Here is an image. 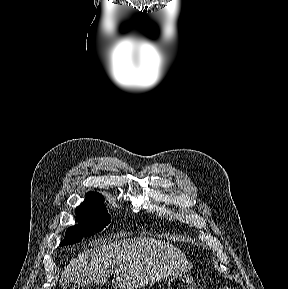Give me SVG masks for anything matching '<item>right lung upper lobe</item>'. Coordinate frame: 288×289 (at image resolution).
<instances>
[{"instance_id":"cb5924a9","label":"right lung upper lobe","mask_w":288,"mask_h":289,"mask_svg":"<svg viewBox=\"0 0 288 289\" xmlns=\"http://www.w3.org/2000/svg\"><path fill=\"white\" fill-rule=\"evenodd\" d=\"M101 195L96 192H89L87 193V198H95V197H100Z\"/></svg>"}]
</instances>
